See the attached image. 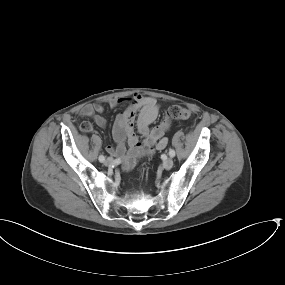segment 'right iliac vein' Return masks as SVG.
Listing matches in <instances>:
<instances>
[{
	"mask_svg": "<svg viewBox=\"0 0 285 285\" xmlns=\"http://www.w3.org/2000/svg\"><path fill=\"white\" fill-rule=\"evenodd\" d=\"M113 163H114V160H113V158H111V157H108V158L105 160V165H107V166H111Z\"/></svg>",
	"mask_w": 285,
	"mask_h": 285,
	"instance_id": "63e3f726",
	"label": "right iliac vein"
}]
</instances>
